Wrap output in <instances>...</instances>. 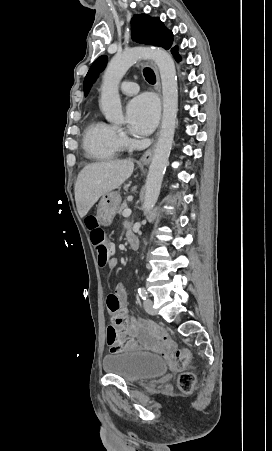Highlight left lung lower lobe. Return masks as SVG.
Masks as SVG:
<instances>
[{"label":"left lung lower lobe","instance_id":"1","mask_svg":"<svg viewBox=\"0 0 272 451\" xmlns=\"http://www.w3.org/2000/svg\"><path fill=\"white\" fill-rule=\"evenodd\" d=\"M177 50H178V46H175L172 48L171 52L177 61H181V57L179 56Z\"/></svg>","mask_w":272,"mask_h":451}]
</instances>
